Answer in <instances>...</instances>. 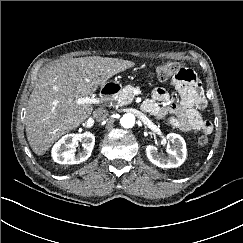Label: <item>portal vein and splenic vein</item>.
Segmentation results:
<instances>
[{
	"mask_svg": "<svg viewBox=\"0 0 243 243\" xmlns=\"http://www.w3.org/2000/svg\"><path fill=\"white\" fill-rule=\"evenodd\" d=\"M78 105L82 104H101L103 101L100 98L94 97V96H85L80 97L76 100Z\"/></svg>",
	"mask_w": 243,
	"mask_h": 243,
	"instance_id": "obj_1",
	"label": "portal vein and splenic vein"
}]
</instances>
